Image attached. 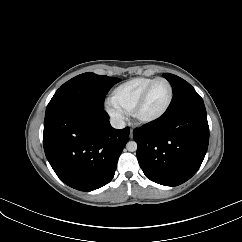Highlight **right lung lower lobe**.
Wrapping results in <instances>:
<instances>
[{"label": "right lung lower lobe", "instance_id": "1", "mask_svg": "<svg viewBox=\"0 0 242 242\" xmlns=\"http://www.w3.org/2000/svg\"><path fill=\"white\" fill-rule=\"evenodd\" d=\"M130 129H114L104 108L68 104L45 114L43 146L57 176L68 186L92 191L114 177Z\"/></svg>", "mask_w": 242, "mask_h": 242}]
</instances>
